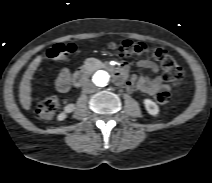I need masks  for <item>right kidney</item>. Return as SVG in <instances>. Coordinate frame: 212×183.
<instances>
[{"mask_svg": "<svg viewBox=\"0 0 212 183\" xmlns=\"http://www.w3.org/2000/svg\"><path fill=\"white\" fill-rule=\"evenodd\" d=\"M74 109H75V105H74V104L70 103V104L66 105V106L64 107V111L61 112V113L58 115L57 119H58L59 121L64 120L65 118H67V114L73 112Z\"/></svg>", "mask_w": 212, "mask_h": 183, "instance_id": "ca27d5eb", "label": "right kidney"}]
</instances>
